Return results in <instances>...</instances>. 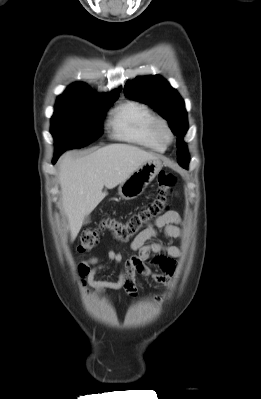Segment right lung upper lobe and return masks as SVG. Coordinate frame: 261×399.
<instances>
[{
  "instance_id": "obj_1",
  "label": "right lung upper lobe",
  "mask_w": 261,
  "mask_h": 399,
  "mask_svg": "<svg viewBox=\"0 0 261 399\" xmlns=\"http://www.w3.org/2000/svg\"><path fill=\"white\" fill-rule=\"evenodd\" d=\"M119 90H114L110 93L97 94L90 90V88L83 82H76L70 85L66 91L58 97V100H89V99H110L117 98Z\"/></svg>"
}]
</instances>
